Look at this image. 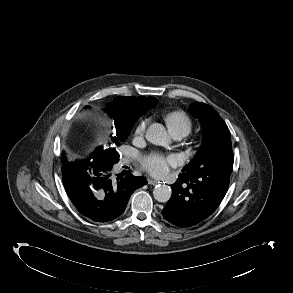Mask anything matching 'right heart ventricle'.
Wrapping results in <instances>:
<instances>
[{"label":"right heart ventricle","mask_w":293,"mask_h":293,"mask_svg":"<svg viewBox=\"0 0 293 293\" xmlns=\"http://www.w3.org/2000/svg\"><path fill=\"white\" fill-rule=\"evenodd\" d=\"M164 120L171 133H183L187 135L192 129V120L180 110H174L164 115Z\"/></svg>","instance_id":"1"}]
</instances>
